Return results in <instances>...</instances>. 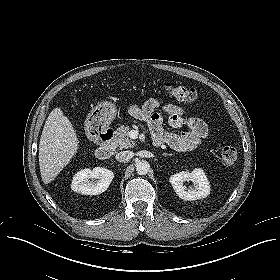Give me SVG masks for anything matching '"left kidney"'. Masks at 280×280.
I'll use <instances>...</instances> for the list:
<instances>
[{"mask_svg":"<svg viewBox=\"0 0 280 280\" xmlns=\"http://www.w3.org/2000/svg\"><path fill=\"white\" fill-rule=\"evenodd\" d=\"M185 181H192L194 187L187 188L184 185ZM174 191L179 198L183 200H198L207 197L210 194V184L204 171L200 168H195L191 173L182 171L171 175L169 178Z\"/></svg>","mask_w":280,"mask_h":280,"instance_id":"5707ae66","label":"left kidney"}]
</instances>
